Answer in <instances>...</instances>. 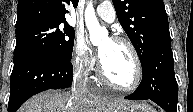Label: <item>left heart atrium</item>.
Wrapping results in <instances>:
<instances>
[{
    "mask_svg": "<svg viewBox=\"0 0 193 112\" xmlns=\"http://www.w3.org/2000/svg\"><path fill=\"white\" fill-rule=\"evenodd\" d=\"M103 56H104V52L99 49V51H98V57H99L100 61L102 60Z\"/></svg>",
    "mask_w": 193,
    "mask_h": 112,
    "instance_id": "obj_1",
    "label": "left heart atrium"
}]
</instances>
